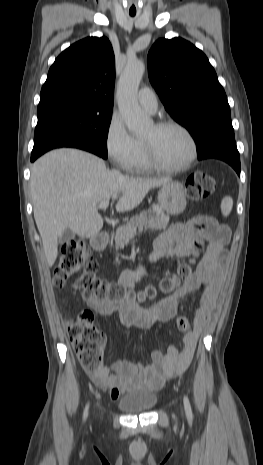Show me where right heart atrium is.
Wrapping results in <instances>:
<instances>
[{
  "label": "right heart atrium",
  "instance_id": "d8ad5b80",
  "mask_svg": "<svg viewBox=\"0 0 263 465\" xmlns=\"http://www.w3.org/2000/svg\"><path fill=\"white\" fill-rule=\"evenodd\" d=\"M105 150L110 160L121 168H130L137 154V140L128 132L122 118L113 114L106 127Z\"/></svg>",
  "mask_w": 263,
  "mask_h": 465
}]
</instances>
